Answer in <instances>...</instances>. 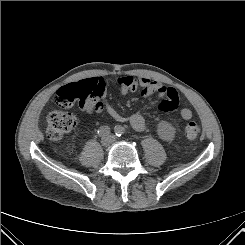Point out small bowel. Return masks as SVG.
<instances>
[{
  "label": "small bowel",
  "mask_w": 245,
  "mask_h": 245,
  "mask_svg": "<svg viewBox=\"0 0 245 245\" xmlns=\"http://www.w3.org/2000/svg\"><path fill=\"white\" fill-rule=\"evenodd\" d=\"M98 87V95L88 99L81 108L88 114L99 113L106 110L108 114L118 122H129L137 131H144L147 128L143 111H137L130 116L121 115L108 101L106 96V85L102 77L90 78ZM118 93L124 96L130 92L140 91L141 96L149 98L153 94H158L163 98L158 108L161 111L169 112L178 108L179 97L177 91L170 86H165L157 80H151L145 76H123L117 79ZM180 116L185 120L193 117V112L189 108L179 109Z\"/></svg>",
  "instance_id": "obj_1"
}]
</instances>
